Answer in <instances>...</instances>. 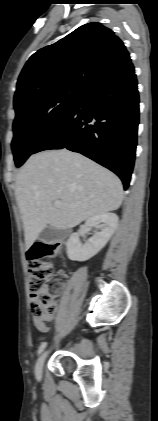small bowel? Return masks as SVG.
<instances>
[{"mask_svg":"<svg viewBox=\"0 0 158 421\" xmlns=\"http://www.w3.org/2000/svg\"><path fill=\"white\" fill-rule=\"evenodd\" d=\"M52 318L53 316H49L45 319H38L36 317H33V323L35 327L38 329V331L46 333L50 329L49 322L52 320Z\"/></svg>","mask_w":158,"mask_h":421,"instance_id":"1","label":"small bowel"}]
</instances>
